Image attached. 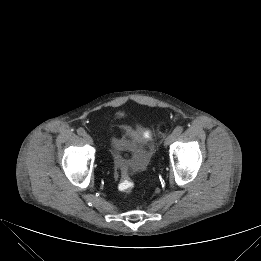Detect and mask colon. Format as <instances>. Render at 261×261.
<instances>
[{"mask_svg": "<svg viewBox=\"0 0 261 261\" xmlns=\"http://www.w3.org/2000/svg\"><path fill=\"white\" fill-rule=\"evenodd\" d=\"M152 131L150 129H141L138 131L127 129L126 139H135L138 141L150 138ZM115 177L118 182V189L124 194H130L134 188V182L131 178L129 168L122 158H118L115 163Z\"/></svg>", "mask_w": 261, "mask_h": 261, "instance_id": "obj_1", "label": "colon"}]
</instances>
